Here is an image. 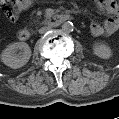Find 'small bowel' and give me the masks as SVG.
<instances>
[{"label":"small bowel","instance_id":"obj_1","mask_svg":"<svg viewBox=\"0 0 119 119\" xmlns=\"http://www.w3.org/2000/svg\"><path fill=\"white\" fill-rule=\"evenodd\" d=\"M96 5L106 17L99 21H93L90 31L94 36H109L119 27V5L115 0H97ZM30 0H11L4 2V11L11 21L18 19L19 15L31 8Z\"/></svg>","mask_w":119,"mask_h":119}]
</instances>
